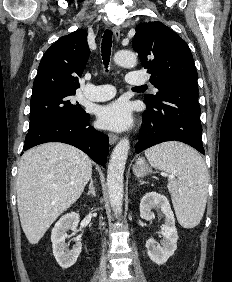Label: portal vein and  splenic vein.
<instances>
[{
	"instance_id": "portal-vein-and-splenic-vein-1",
	"label": "portal vein and splenic vein",
	"mask_w": 232,
	"mask_h": 282,
	"mask_svg": "<svg viewBox=\"0 0 232 282\" xmlns=\"http://www.w3.org/2000/svg\"><path fill=\"white\" fill-rule=\"evenodd\" d=\"M169 177H170V178H174V176H172V175H170Z\"/></svg>"
}]
</instances>
